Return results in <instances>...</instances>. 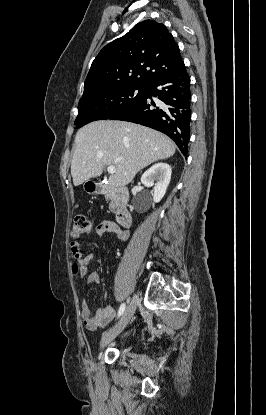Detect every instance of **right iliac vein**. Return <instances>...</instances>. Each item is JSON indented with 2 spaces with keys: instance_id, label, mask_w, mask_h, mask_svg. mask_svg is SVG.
I'll return each mask as SVG.
<instances>
[{
  "instance_id": "63e3f726",
  "label": "right iliac vein",
  "mask_w": 266,
  "mask_h": 415,
  "mask_svg": "<svg viewBox=\"0 0 266 415\" xmlns=\"http://www.w3.org/2000/svg\"><path fill=\"white\" fill-rule=\"evenodd\" d=\"M138 304V297L134 295L131 299L127 309L123 313L120 320L116 323L114 327H112L105 335L103 336L100 347H105L108 343H110L113 339H115L127 326L128 322L130 321L131 317L133 316L136 306Z\"/></svg>"
}]
</instances>
